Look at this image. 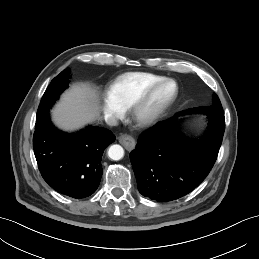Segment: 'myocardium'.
Listing matches in <instances>:
<instances>
[{
	"label": "myocardium",
	"instance_id": "myocardium-1",
	"mask_svg": "<svg viewBox=\"0 0 259 259\" xmlns=\"http://www.w3.org/2000/svg\"><path fill=\"white\" fill-rule=\"evenodd\" d=\"M167 84L174 85V92L170 98L162 105L156 108L148 115H142V110L147 106L153 94L162 86ZM179 96V85L172 78H164L149 87L139 94L129 106L131 119L142 128H147L155 125L165 115V113L173 106Z\"/></svg>",
	"mask_w": 259,
	"mask_h": 259
}]
</instances>
